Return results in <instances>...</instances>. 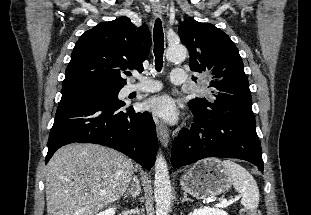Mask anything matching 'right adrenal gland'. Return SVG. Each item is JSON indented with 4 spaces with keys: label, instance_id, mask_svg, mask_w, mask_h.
I'll list each match as a JSON object with an SVG mask.
<instances>
[{
    "label": "right adrenal gland",
    "instance_id": "obj_1",
    "mask_svg": "<svg viewBox=\"0 0 311 215\" xmlns=\"http://www.w3.org/2000/svg\"><path fill=\"white\" fill-rule=\"evenodd\" d=\"M140 191H141V188L139 185V181L137 177L134 176L132 184H131V188H129L127 192L124 194V198H127L130 196L132 199H135L137 196H139Z\"/></svg>",
    "mask_w": 311,
    "mask_h": 215
}]
</instances>
